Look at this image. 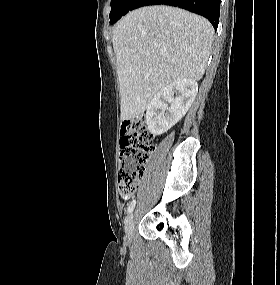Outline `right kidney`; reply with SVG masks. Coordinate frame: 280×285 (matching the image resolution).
<instances>
[{"instance_id":"ca27d5eb","label":"right kidney","mask_w":280,"mask_h":285,"mask_svg":"<svg viewBox=\"0 0 280 285\" xmlns=\"http://www.w3.org/2000/svg\"><path fill=\"white\" fill-rule=\"evenodd\" d=\"M197 92L198 84L194 79H178L163 87L147 106L146 123L149 131L153 135H161L172 128L187 113ZM175 93L179 95L174 97Z\"/></svg>"}]
</instances>
